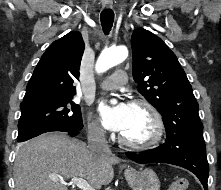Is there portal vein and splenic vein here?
<instances>
[{
	"mask_svg": "<svg viewBox=\"0 0 221 190\" xmlns=\"http://www.w3.org/2000/svg\"><path fill=\"white\" fill-rule=\"evenodd\" d=\"M55 180V179H54ZM58 181V180H55ZM61 183L66 184V182L61 179ZM69 185H75L79 187L81 190H95L85 179L83 178H71Z\"/></svg>",
	"mask_w": 221,
	"mask_h": 190,
	"instance_id": "portal-vein-and-splenic-vein-1",
	"label": "portal vein and splenic vein"
}]
</instances>
